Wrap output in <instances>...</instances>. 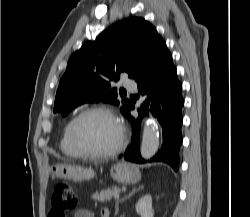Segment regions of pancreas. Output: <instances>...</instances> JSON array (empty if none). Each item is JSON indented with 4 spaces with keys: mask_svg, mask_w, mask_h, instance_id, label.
<instances>
[{
    "mask_svg": "<svg viewBox=\"0 0 250 217\" xmlns=\"http://www.w3.org/2000/svg\"><path fill=\"white\" fill-rule=\"evenodd\" d=\"M116 193H120V188H118L117 186H113L111 188L102 190L100 193H95L93 194L92 198L95 201H99V202H107L110 201L111 198L116 194Z\"/></svg>",
    "mask_w": 250,
    "mask_h": 217,
    "instance_id": "1",
    "label": "pancreas"
}]
</instances>
